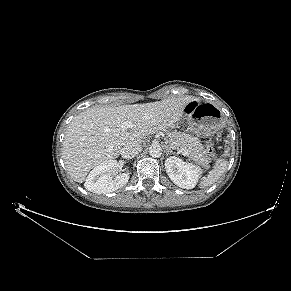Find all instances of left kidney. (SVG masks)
<instances>
[{
    "label": "left kidney",
    "instance_id": "left-kidney-1",
    "mask_svg": "<svg viewBox=\"0 0 291 291\" xmlns=\"http://www.w3.org/2000/svg\"><path fill=\"white\" fill-rule=\"evenodd\" d=\"M165 169L171 181L184 189L194 188L202 172L195 164L184 162L174 156L165 160Z\"/></svg>",
    "mask_w": 291,
    "mask_h": 291
}]
</instances>
